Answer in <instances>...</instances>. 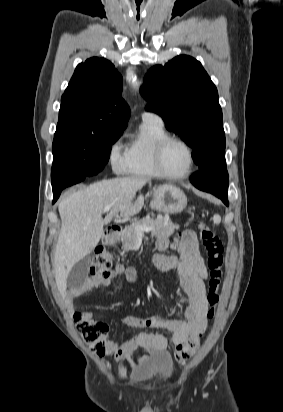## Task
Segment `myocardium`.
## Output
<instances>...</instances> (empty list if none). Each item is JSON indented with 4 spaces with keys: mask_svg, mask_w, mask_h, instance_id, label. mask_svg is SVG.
<instances>
[{
    "mask_svg": "<svg viewBox=\"0 0 283 412\" xmlns=\"http://www.w3.org/2000/svg\"><path fill=\"white\" fill-rule=\"evenodd\" d=\"M174 142L182 145L187 150L188 155H189V161H190L189 167L185 173L180 174V175H173V174L166 172L162 164V158H163V154H164L166 147L170 143H174ZM154 164H155V167H156V170L159 176L163 178H167V179H172V180H181V179L187 178L192 173L194 166H195V154H194L193 148L190 146L188 142H186L180 137L167 135L166 137L159 140V142L157 143L155 147Z\"/></svg>",
    "mask_w": 283,
    "mask_h": 412,
    "instance_id": "f54148a6",
    "label": "myocardium"
}]
</instances>
